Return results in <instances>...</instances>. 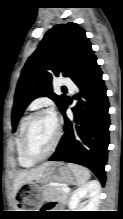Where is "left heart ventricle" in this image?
<instances>
[{
    "mask_svg": "<svg viewBox=\"0 0 123 219\" xmlns=\"http://www.w3.org/2000/svg\"><path fill=\"white\" fill-rule=\"evenodd\" d=\"M56 135V125L49 115H40L31 124L28 135V149L35 156L48 151Z\"/></svg>",
    "mask_w": 123,
    "mask_h": 219,
    "instance_id": "b2bd125f",
    "label": "left heart ventricle"
}]
</instances>
